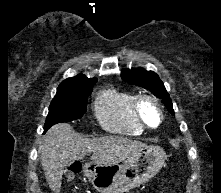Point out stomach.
I'll return each mask as SVG.
<instances>
[{"label":"stomach","instance_id":"obj_1","mask_svg":"<svg viewBox=\"0 0 221 193\" xmlns=\"http://www.w3.org/2000/svg\"><path fill=\"white\" fill-rule=\"evenodd\" d=\"M165 151L159 146H146L131 155L123 164L88 163L83 172L100 193H123L147 182L164 165Z\"/></svg>","mask_w":221,"mask_h":193}]
</instances>
